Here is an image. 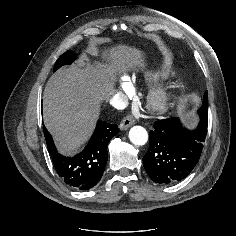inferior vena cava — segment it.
Segmentation results:
<instances>
[{
  "label": "inferior vena cava",
  "instance_id": "602c4592",
  "mask_svg": "<svg viewBox=\"0 0 236 236\" xmlns=\"http://www.w3.org/2000/svg\"><path fill=\"white\" fill-rule=\"evenodd\" d=\"M111 104L117 109H123L125 107V101L122 93L114 95V97L111 99Z\"/></svg>",
  "mask_w": 236,
  "mask_h": 236
}]
</instances>
